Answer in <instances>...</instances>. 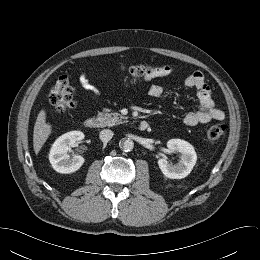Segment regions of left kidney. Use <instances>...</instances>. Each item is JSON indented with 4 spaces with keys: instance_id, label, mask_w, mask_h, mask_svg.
Masks as SVG:
<instances>
[{
    "instance_id": "left-kidney-1",
    "label": "left kidney",
    "mask_w": 260,
    "mask_h": 260,
    "mask_svg": "<svg viewBox=\"0 0 260 260\" xmlns=\"http://www.w3.org/2000/svg\"><path fill=\"white\" fill-rule=\"evenodd\" d=\"M167 147L171 151L180 153V160L177 164L169 163L167 157L158 160L159 168L164 176L170 179H182L190 174L197 161V154L194 147L181 139H170Z\"/></svg>"
}]
</instances>
